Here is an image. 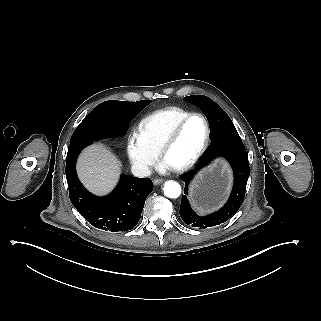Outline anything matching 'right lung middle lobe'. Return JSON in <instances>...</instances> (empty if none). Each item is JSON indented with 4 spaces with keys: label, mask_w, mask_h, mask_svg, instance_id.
<instances>
[{
    "label": "right lung middle lobe",
    "mask_w": 321,
    "mask_h": 321,
    "mask_svg": "<svg viewBox=\"0 0 321 321\" xmlns=\"http://www.w3.org/2000/svg\"><path fill=\"white\" fill-rule=\"evenodd\" d=\"M132 103L143 109L151 103V100H141ZM96 109L97 107L78 125L70 139V144L82 140L96 141L109 136L105 123L96 114Z\"/></svg>",
    "instance_id": "1"
}]
</instances>
